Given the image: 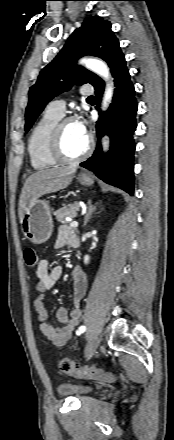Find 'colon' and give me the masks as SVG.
Listing matches in <instances>:
<instances>
[{"mask_svg": "<svg viewBox=\"0 0 174 440\" xmlns=\"http://www.w3.org/2000/svg\"><path fill=\"white\" fill-rule=\"evenodd\" d=\"M25 263L30 268L38 266V258L33 248H25L23 251ZM59 369L69 375L81 378H88L102 382H113L115 376L111 372L87 366H79L69 358H63L59 362Z\"/></svg>", "mask_w": 174, "mask_h": 440, "instance_id": "1", "label": "colon"}]
</instances>
